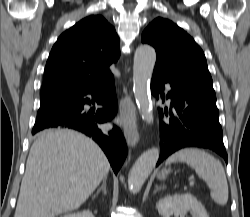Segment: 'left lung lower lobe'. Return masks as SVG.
<instances>
[{
	"mask_svg": "<svg viewBox=\"0 0 250 217\" xmlns=\"http://www.w3.org/2000/svg\"><path fill=\"white\" fill-rule=\"evenodd\" d=\"M171 90L166 98H171L170 108H159L160 157L157 165L172 153L182 148L200 147L215 151L228 162L223 144V132L219 123L216 95L213 85L170 80L153 72L151 93L164 98V84ZM163 112L170 117L163 119Z\"/></svg>",
	"mask_w": 250,
	"mask_h": 217,
	"instance_id": "1",
	"label": "left lung lower lobe"
}]
</instances>
